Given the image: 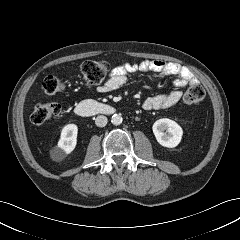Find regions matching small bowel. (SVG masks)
I'll list each match as a JSON object with an SVG mask.
<instances>
[{
    "label": "small bowel",
    "instance_id": "1",
    "mask_svg": "<svg viewBox=\"0 0 240 240\" xmlns=\"http://www.w3.org/2000/svg\"><path fill=\"white\" fill-rule=\"evenodd\" d=\"M145 73L154 79L174 77L175 89L168 93L147 97L142 108L146 111L166 109L176 105L182 97V88L198 82L193 73L177 63L165 62L161 60L142 61L139 63L125 62L115 67L109 78L99 86L100 92H111L122 87L129 75L135 73Z\"/></svg>",
    "mask_w": 240,
    "mask_h": 240
}]
</instances>
